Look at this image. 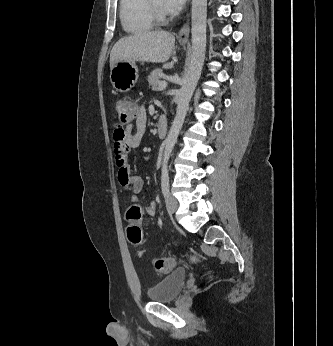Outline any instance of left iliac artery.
Wrapping results in <instances>:
<instances>
[{
    "instance_id": "44dca946",
    "label": "left iliac artery",
    "mask_w": 333,
    "mask_h": 346,
    "mask_svg": "<svg viewBox=\"0 0 333 346\" xmlns=\"http://www.w3.org/2000/svg\"><path fill=\"white\" fill-rule=\"evenodd\" d=\"M161 187L163 195L166 196L169 193V173L167 168L162 169Z\"/></svg>"
}]
</instances>
